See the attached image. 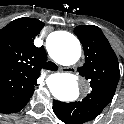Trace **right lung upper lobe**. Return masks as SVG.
<instances>
[{
    "instance_id": "1",
    "label": "right lung upper lobe",
    "mask_w": 124,
    "mask_h": 124,
    "mask_svg": "<svg viewBox=\"0 0 124 124\" xmlns=\"http://www.w3.org/2000/svg\"><path fill=\"white\" fill-rule=\"evenodd\" d=\"M44 23L19 18L0 30V112L14 113L29 101L46 62L45 50L34 38Z\"/></svg>"
}]
</instances>
